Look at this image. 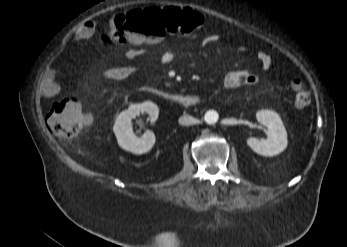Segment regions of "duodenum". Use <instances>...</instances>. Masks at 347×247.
Wrapping results in <instances>:
<instances>
[{
  "label": "duodenum",
  "mask_w": 347,
  "mask_h": 247,
  "mask_svg": "<svg viewBox=\"0 0 347 247\" xmlns=\"http://www.w3.org/2000/svg\"><path fill=\"white\" fill-rule=\"evenodd\" d=\"M155 94L182 107H192L200 103V97L193 94H176L166 91H156Z\"/></svg>",
  "instance_id": "duodenum-1"
}]
</instances>
